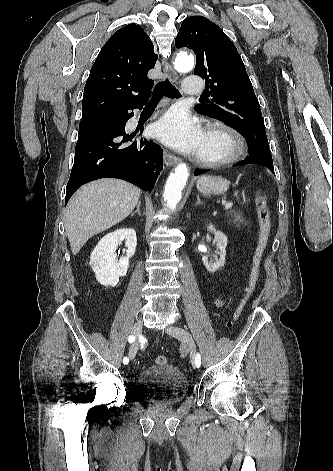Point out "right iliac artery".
Instances as JSON below:
<instances>
[{"label":"right iliac artery","instance_id":"right-iliac-artery-1","mask_svg":"<svg viewBox=\"0 0 333 471\" xmlns=\"http://www.w3.org/2000/svg\"><path fill=\"white\" fill-rule=\"evenodd\" d=\"M134 340H135V337H134L133 335H130V336L128 337V341H129V343H132V342H134ZM123 363H124V364H128V363H129V359H128V357H124V359H123Z\"/></svg>","mask_w":333,"mask_h":471}]
</instances>
